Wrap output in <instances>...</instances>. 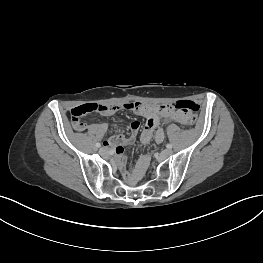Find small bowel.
Returning a JSON list of instances; mask_svg holds the SVG:
<instances>
[{
  "instance_id": "c3829d8e",
  "label": "small bowel",
  "mask_w": 263,
  "mask_h": 263,
  "mask_svg": "<svg viewBox=\"0 0 263 263\" xmlns=\"http://www.w3.org/2000/svg\"><path fill=\"white\" fill-rule=\"evenodd\" d=\"M104 106V110L100 112L103 115H112L121 110H130L135 114L146 119L145 125L142 130L141 139L144 144L150 142L152 138L155 139L156 142L160 143L164 139V131L159 128L160 122L165 118H172L181 125H188L189 115L182 112H175L170 105H154L143 102H128L120 105L113 106ZM141 127V123L139 121H133L130 124V135L128 137L123 135H113L109 137L104 145L106 148L112 150L115 156L119 159L121 164L125 163L124 156V147L133 142L136 138V135ZM85 129V124H84ZM108 129V125L106 123H102L99 125V131L101 133L106 132ZM149 164L148 156H143L136 167V176H142Z\"/></svg>"
}]
</instances>
